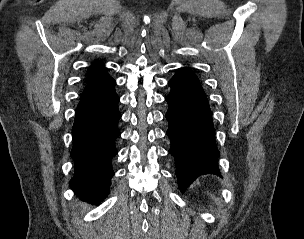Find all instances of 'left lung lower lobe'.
<instances>
[{"mask_svg":"<svg viewBox=\"0 0 304 239\" xmlns=\"http://www.w3.org/2000/svg\"><path fill=\"white\" fill-rule=\"evenodd\" d=\"M169 105L165 115L171 141L169 153L175 158L180 191L199 176L219 175V151L214 139L211 111L203 88L189 69L179 70L169 81Z\"/></svg>","mask_w":304,"mask_h":239,"instance_id":"obj_1","label":"left lung lower lobe"}]
</instances>
